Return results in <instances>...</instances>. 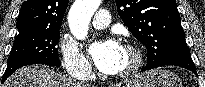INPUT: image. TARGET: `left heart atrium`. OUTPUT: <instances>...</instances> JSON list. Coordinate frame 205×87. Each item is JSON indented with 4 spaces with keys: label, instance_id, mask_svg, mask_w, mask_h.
<instances>
[{
    "label": "left heart atrium",
    "instance_id": "obj_1",
    "mask_svg": "<svg viewBox=\"0 0 205 87\" xmlns=\"http://www.w3.org/2000/svg\"><path fill=\"white\" fill-rule=\"evenodd\" d=\"M122 49L118 42L108 40L102 44L94 45L91 48V55L101 72L113 74L118 71Z\"/></svg>",
    "mask_w": 205,
    "mask_h": 87
}]
</instances>
